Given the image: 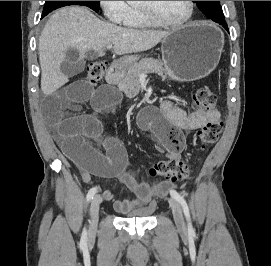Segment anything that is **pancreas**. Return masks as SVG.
Wrapping results in <instances>:
<instances>
[{"instance_id":"cf45deb5","label":"pancreas","mask_w":271,"mask_h":266,"mask_svg":"<svg viewBox=\"0 0 271 266\" xmlns=\"http://www.w3.org/2000/svg\"><path fill=\"white\" fill-rule=\"evenodd\" d=\"M163 64L153 58H143L128 68L127 74L120 80L119 87L127 97L132 98L140 91L139 76L142 73H157L163 75Z\"/></svg>"}]
</instances>
